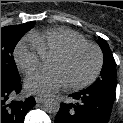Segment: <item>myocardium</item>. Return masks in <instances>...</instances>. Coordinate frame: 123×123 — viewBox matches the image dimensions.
Listing matches in <instances>:
<instances>
[{
	"label": "myocardium",
	"instance_id": "obj_1",
	"mask_svg": "<svg viewBox=\"0 0 123 123\" xmlns=\"http://www.w3.org/2000/svg\"><path fill=\"white\" fill-rule=\"evenodd\" d=\"M83 48H91L95 51V53L97 55L96 68H95L94 72L92 73V75L85 81L80 82V83L68 84V88H70L72 90H82L84 88L89 87L97 80V78L99 77V75L102 71L103 64H104V55H103L101 48L92 42L86 41V42H82V43L73 44V45H71V46H69V47H67L53 55V56L60 57V58H68Z\"/></svg>",
	"mask_w": 123,
	"mask_h": 123
}]
</instances>
